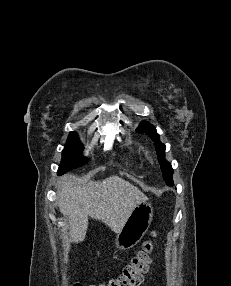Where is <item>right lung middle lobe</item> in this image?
Segmentation results:
<instances>
[{
    "label": "right lung middle lobe",
    "mask_w": 231,
    "mask_h": 286,
    "mask_svg": "<svg viewBox=\"0 0 231 286\" xmlns=\"http://www.w3.org/2000/svg\"><path fill=\"white\" fill-rule=\"evenodd\" d=\"M83 146L75 133H70L66 147L62 152L61 165L58 175H61L70 169L85 164L88 159L82 157Z\"/></svg>",
    "instance_id": "dd1d6c3e"
}]
</instances>
